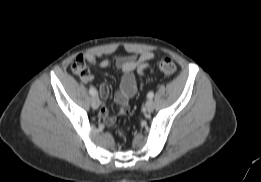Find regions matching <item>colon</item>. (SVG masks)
I'll use <instances>...</instances> for the list:
<instances>
[{"label": "colon", "instance_id": "colon-1", "mask_svg": "<svg viewBox=\"0 0 261 182\" xmlns=\"http://www.w3.org/2000/svg\"><path fill=\"white\" fill-rule=\"evenodd\" d=\"M158 69L166 75H173L176 70V64L168 57L161 58L157 61ZM72 72L81 80H89L91 71L82 57H76L71 65ZM112 124V123H111ZM121 132V131H119Z\"/></svg>", "mask_w": 261, "mask_h": 182}]
</instances>
